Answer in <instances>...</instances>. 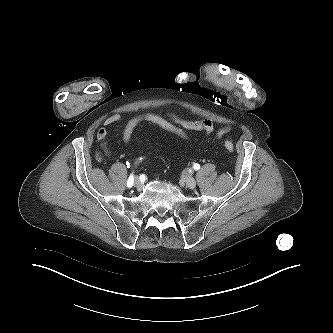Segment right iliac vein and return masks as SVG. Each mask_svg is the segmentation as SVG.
Masks as SVG:
<instances>
[{
	"label": "right iliac vein",
	"instance_id": "1",
	"mask_svg": "<svg viewBox=\"0 0 333 333\" xmlns=\"http://www.w3.org/2000/svg\"><path fill=\"white\" fill-rule=\"evenodd\" d=\"M134 186H135L136 188H139V187L141 186V182H140V180L138 179V177H135V178H134Z\"/></svg>",
	"mask_w": 333,
	"mask_h": 333
}]
</instances>
